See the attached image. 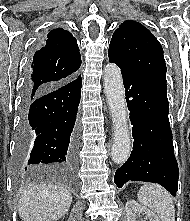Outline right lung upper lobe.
Listing matches in <instances>:
<instances>
[{
    "label": "right lung upper lobe",
    "mask_w": 190,
    "mask_h": 221,
    "mask_svg": "<svg viewBox=\"0 0 190 221\" xmlns=\"http://www.w3.org/2000/svg\"><path fill=\"white\" fill-rule=\"evenodd\" d=\"M80 66L76 39L69 31L57 28L35 52L26 84L30 92L56 86L76 78Z\"/></svg>",
    "instance_id": "cb5924a9"
}]
</instances>
